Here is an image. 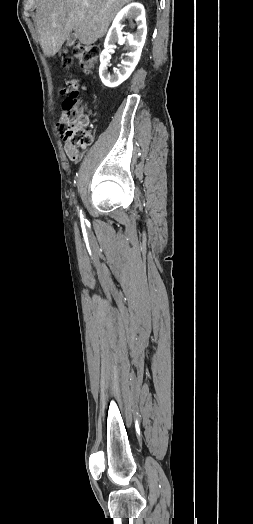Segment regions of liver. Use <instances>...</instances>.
<instances>
[{
  "label": "liver",
  "mask_w": 253,
  "mask_h": 524,
  "mask_svg": "<svg viewBox=\"0 0 253 524\" xmlns=\"http://www.w3.org/2000/svg\"><path fill=\"white\" fill-rule=\"evenodd\" d=\"M133 0H38L36 24L40 45L47 57L54 56L74 31L91 45L103 37L117 12Z\"/></svg>",
  "instance_id": "6515ba94"
}]
</instances>
